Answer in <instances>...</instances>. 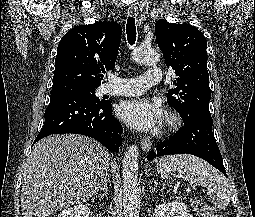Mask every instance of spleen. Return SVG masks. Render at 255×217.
<instances>
[{"label": "spleen", "mask_w": 255, "mask_h": 217, "mask_svg": "<svg viewBox=\"0 0 255 217\" xmlns=\"http://www.w3.org/2000/svg\"><path fill=\"white\" fill-rule=\"evenodd\" d=\"M159 175L168 179L171 172H180L196 185L216 194L214 206L225 208L231 200L230 187L222 174L204 160L192 155H170L161 158L157 164Z\"/></svg>", "instance_id": "3e777b00"}]
</instances>
